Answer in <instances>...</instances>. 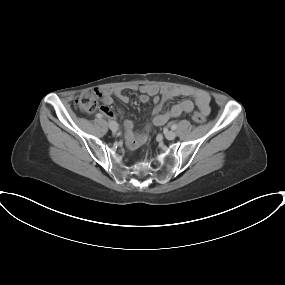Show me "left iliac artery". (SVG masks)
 I'll return each instance as SVG.
<instances>
[{
	"label": "left iliac artery",
	"mask_w": 285,
	"mask_h": 285,
	"mask_svg": "<svg viewBox=\"0 0 285 285\" xmlns=\"http://www.w3.org/2000/svg\"><path fill=\"white\" fill-rule=\"evenodd\" d=\"M171 129L172 130H176L177 129V124L176 123L172 124Z\"/></svg>",
	"instance_id": "obj_1"
}]
</instances>
